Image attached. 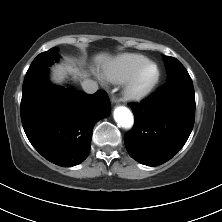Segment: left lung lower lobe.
I'll use <instances>...</instances> for the list:
<instances>
[{"label":"left lung lower lobe","instance_id":"obj_1","mask_svg":"<svg viewBox=\"0 0 222 222\" xmlns=\"http://www.w3.org/2000/svg\"><path fill=\"white\" fill-rule=\"evenodd\" d=\"M129 106L135 124L124 136L126 149L136 161L158 166L183 147L193 129V82L191 78L167 82L148 99Z\"/></svg>","mask_w":222,"mask_h":222}]
</instances>
